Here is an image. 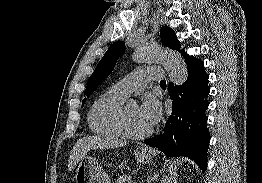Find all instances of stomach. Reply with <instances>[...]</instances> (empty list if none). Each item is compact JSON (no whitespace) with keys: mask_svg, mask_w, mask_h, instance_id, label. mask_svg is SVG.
<instances>
[{"mask_svg":"<svg viewBox=\"0 0 262 183\" xmlns=\"http://www.w3.org/2000/svg\"><path fill=\"white\" fill-rule=\"evenodd\" d=\"M153 151L139 148L135 151L137 161L148 163L153 158ZM76 183H111L102 166L91 156H85L77 165L74 176Z\"/></svg>","mask_w":262,"mask_h":183,"instance_id":"stomach-1","label":"stomach"}]
</instances>
